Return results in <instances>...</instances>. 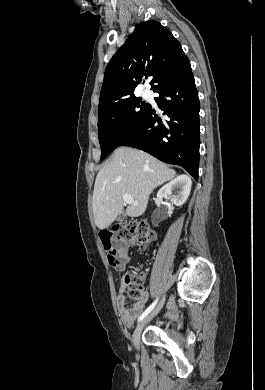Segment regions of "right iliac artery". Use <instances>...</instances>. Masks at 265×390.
Segmentation results:
<instances>
[{
  "label": "right iliac artery",
  "instance_id": "82829eb1",
  "mask_svg": "<svg viewBox=\"0 0 265 390\" xmlns=\"http://www.w3.org/2000/svg\"><path fill=\"white\" fill-rule=\"evenodd\" d=\"M157 302L158 298L140 315V317L138 318V322L143 320L153 310Z\"/></svg>",
  "mask_w": 265,
  "mask_h": 390
}]
</instances>
